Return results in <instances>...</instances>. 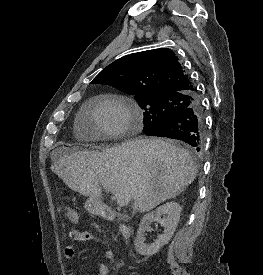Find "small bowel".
Listing matches in <instances>:
<instances>
[{"label":"small bowel","mask_w":263,"mask_h":275,"mask_svg":"<svg viewBox=\"0 0 263 275\" xmlns=\"http://www.w3.org/2000/svg\"><path fill=\"white\" fill-rule=\"evenodd\" d=\"M69 237L71 240L77 241V242H91L99 245L102 244L101 240L89 231H80L77 229H73L70 231ZM63 253H64V257L67 260H72L75 257L74 246L71 244L65 246ZM103 254H104V257L107 259H111L114 255L113 250L108 246L104 247ZM68 272H69V275H74V270L72 268H70ZM108 274H109L108 266L104 263H100L98 265V273L96 275H108Z\"/></svg>","instance_id":"1"}]
</instances>
